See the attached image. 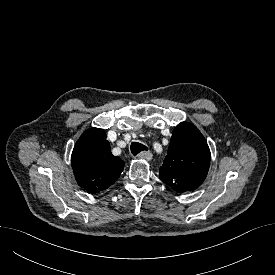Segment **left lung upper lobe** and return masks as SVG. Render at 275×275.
I'll use <instances>...</instances> for the list:
<instances>
[{"mask_svg": "<svg viewBox=\"0 0 275 275\" xmlns=\"http://www.w3.org/2000/svg\"><path fill=\"white\" fill-rule=\"evenodd\" d=\"M209 165L210 150L205 138L196 126L181 122L172 132L159 177L178 193L192 191L203 183Z\"/></svg>", "mask_w": 275, "mask_h": 275, "instance_id": "5c2ea615", "label": "left lung upper lobe"}]
</instances>
